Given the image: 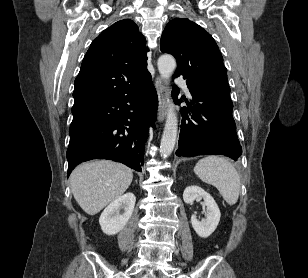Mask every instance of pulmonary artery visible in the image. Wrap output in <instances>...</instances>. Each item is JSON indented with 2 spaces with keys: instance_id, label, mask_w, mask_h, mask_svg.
Masks as SVG:
<instances>
[{
  "instance_id": "pulmonary-artery-1",
  "label": "pulmonary artery",
  "mask_w": 308,
  "mask_h": 278,
  "mask_svg": "<svg viewBox=\"0 0 308 278\" xmlns=\"http://www.w3.org/2000/svg\"><path fill=\"white\" fill-rule=\"evenodd\" d=\"M175 83L177 85H179L180 87H182L184 89V91L187 93V95L190 96V91L188 89V86H187L186 82L182 78H177L175 80Z\"/></svg>"
}]
</instances>
